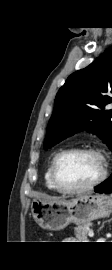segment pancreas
<instances>
[{"instance_id":"pancreas-1","label":"pancreas","mask_w":112,"mask_h":270,"mask_svg":"<svg viewBox=\"0 0 112 270\" xmlns=\"http://www.w3.org/2000/svg\"><path fill=\"white\" fill-rule=\"evenodd\" d=\"M91 223L84 224L82 226H78L75 228V236L79 240V242H88L87 235L90 231Z\"/></svg>"}]
</instances>
